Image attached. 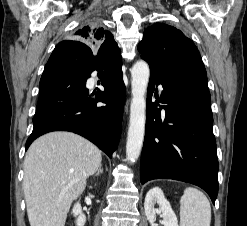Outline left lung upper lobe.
Listing matches in <instances>:
<instances>
[{
	"label": "left lung upper lobe",
	"mask_w": 247,
	"mask_h": 226,
	"mask_svg": "<svg viewBox=\"0 0 247 226\" xmlns=\"http://www.w3.org/2000/svg\"><path fill=\"white\" fill-rule=\"evenodd\" d=\"M138 50L150 66L166 75L194 70L206 73L203 61L193 41L182 31L163 23L147 28Z\"/></svg>",
	"instance_id": "1"
}]
</instances>
